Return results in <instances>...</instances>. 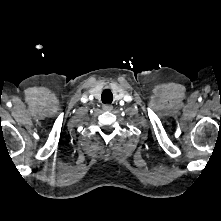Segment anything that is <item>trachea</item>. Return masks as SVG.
Returning <instances> with one entry per match:
<instances>
[{"instance_id":"1","label":"trachea","mask_w":221,"mask_h":221,"mask_svg":"<svg viewBox=\"0 0 221 221\" xmlns=\"http://www.w3.org/2000/svg\"><path fill=\"white\" fill-rule=\"evenodd\" d=\"M101 99L103 103H111L113 101V94L109 89L103 91L101 95Z\"/></svg>"}]
</instances>
